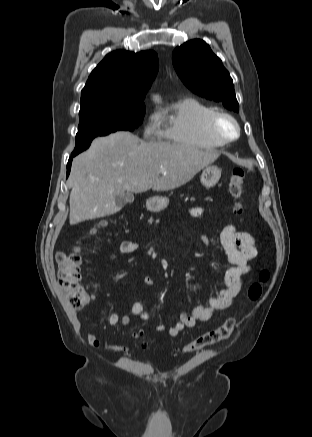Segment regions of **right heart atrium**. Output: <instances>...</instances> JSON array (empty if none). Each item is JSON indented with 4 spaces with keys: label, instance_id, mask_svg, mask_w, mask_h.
Returning a JSON list of instances; mask_svg holds the SVG:
<instances>
[{
    "label": "right heart atrium",
    "instance_id": "1",
    "mask_svg": "<svg viewBox=\"0 0 312 437\" xmlns=\"http://www.w3.org/2000/svg\"><path fill=\"white\" fill-rule=\"evenodd\" d=\"M143 135L150 140L162 138L161 128L158 123V116L154 113L150 114L143 128Z\"/></svg>",
    "mask_w": 312,
    "mask_h": 437
}]
</instances>
